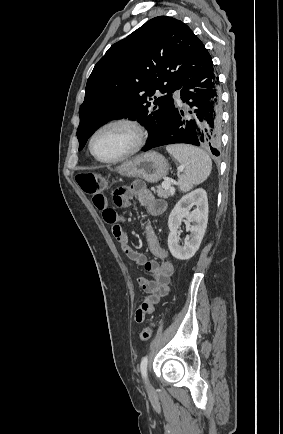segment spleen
<instances>
[{
	"mask_svg": "<svg viewBox=\"0 0 283 434\" xmlns=\"http://www.w3.org/2000/svg\"><path fill=\"white\" fill-rule=\"evenodd\" d=\"M167 151L181 164L184 173L178 179L181 191L186 192L194 185L205 181L212 170V161L209 155L201 149L190 145H170Z\"/></svg>",
	"mask_w": 283,
	"mask_h": 434,
	"instance_id": "obj_1",
	"label": "spleen"
}]
</instances>
